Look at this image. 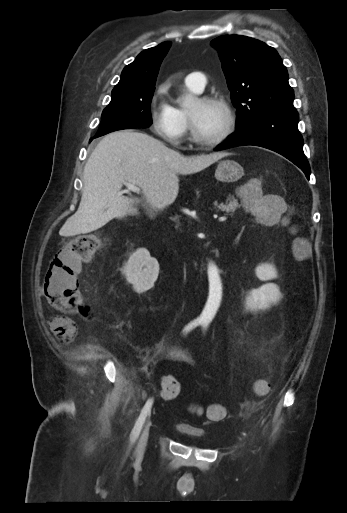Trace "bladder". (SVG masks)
<instances>
[{
	"instance_id": "obj_1",
	"label": "bladder",
	"mask_w": 347,
	"mask_h": 513,
	"mask_svg": "<svg viewBox=\"0 0 347 513\" xmlns=\"http://www.w3.org/2000/svg\"><path fill=\"white\" fill-rule=\"evenodd\" d=\"M177 429L180 433H183L185 435L192 436V437H203V435H204L203 431L201 429L195 428L187 423H179L177 425ZM200 447L205 450L213 449V447L208 444H202Z\"/></svg>"
}]
</instances>
